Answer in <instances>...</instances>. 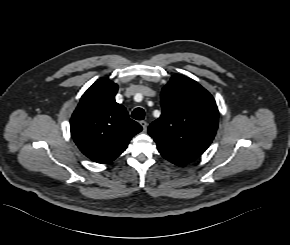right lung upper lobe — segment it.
I'll use <instances>...</instances> for the list:
<instances>
[{"instance_id": "1", "label": "right lung upper lobe", "mask_w": 290, "mask_h": 245, "mask_svg": "<svg viewBox=\"0 0 290 245\" xmlns=\"http://www.w3.org/2000/svg\"><path fill=\"white\" fill-rule=\"evenodd\" d=\"M118 85L106 78L97 80L82 96L70 129L72 137L88 158L108 163L122 154L142 127L129 118L126 108L114 97Z\"/></svg>"}]
</instances>
